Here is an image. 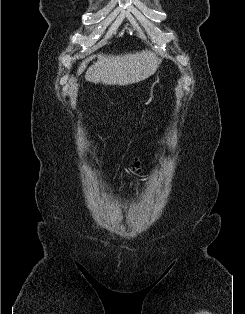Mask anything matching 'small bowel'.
Instances as JSON below:
<instances>
[{
  "instance_id": "obj_1",
  "label": "small bowel",
  "mask_w": 245,
  "mask_h": 314,
  "mask_svg": "<svg viewBox=\"0 0 245 314\" xmlns=\"http://www.w3.org/2000/svg\"><path fill=\"white\" fill-rule=\"evenodd\" d=\"M129 171H130L131 176H133V177H139L141 174L140 163H139L138 159L136 158V156H134V155H133L131 163H130Z\"/></svg>"
}]
</instances>
